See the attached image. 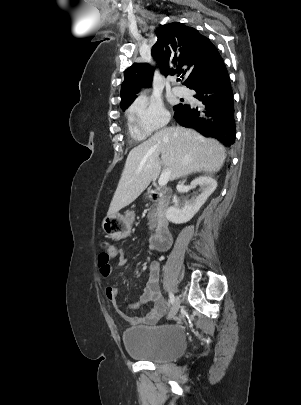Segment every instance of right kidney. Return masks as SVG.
Listing matches in <instances>:
<instances>
[{
	"instance_id": "1",
	"label": "right kidney",
	"mask_w": 301,
	"mask_h": 405,
	"mask_svg": "<svg viewBox=\"0 0 301 405\" xmlns=\"http://www.w3.org/2000/svg\"><path fill=\"white\" fill-rule=\"evenodd\" d=\"M191 187L199 188V195L186 203L182 208L176 204L170 206L166 211L168 221L181 224L190 221L193 216L199 211L207 198L215 191L217 181L211 176H200L191 182Z\"/></svg>"
}]
</instances>
